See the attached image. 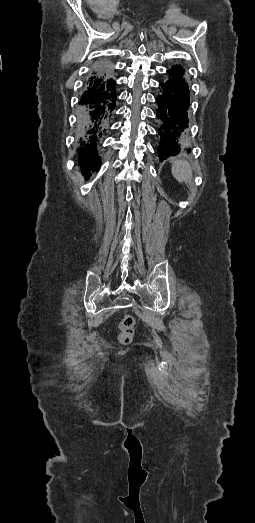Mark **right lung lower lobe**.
<instances>
[{
	"mask_svg": "<svg viewBox=\"0 0 255 523\" xmlns=\"http://www.w3.org/2000/svg\"><path fill=\"white\" fill-rule=\"evenodd\" d=\"M89 105H90V107H92V108H97V107H99V105H100V100H99V98H97V97H92V98H90V100H89V104H88L87 102H82V103L80 104V109H81L82 111H87V110L89 109ZM85 133H86L87 135H90V134L92 133V128H91L90 126H87V127L85 128ZM84 149H85L86 151H91V150L93 149V143H92L91 141H86V142L84 143ZM100 166H101V165H100ZM100 166H98L96 169H87V168H86V169H83L82 166H81V168H82L83 170H85V174H90V171H89V170H92V171H98L99 168H100Z\"/></svg>",
	"mask_w": 255,
	"mask_h": 523,
	"instance_id": "98d812e1",
	"label": "right lung lower lobe"
}]
</instances>
